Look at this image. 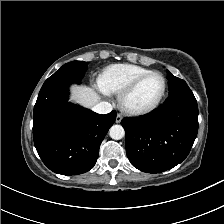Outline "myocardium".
Listing matches in <instances>:
<instances>
[{
	"label": "myocardium",
	"instance_id": "myocardium-1",
	"mask_svg": "<svg viewBox=\"0 0 224 224\" xmlns=\"http://www.w3.org/2000/svg\"><path fill=\"white\" fill-rule=\"evenodd\" d=\"M153 75H159L163 80V89L160 93V95L157 97V99L149 106L146 107H132L128 104L129 97L133 94V92L138 88V86L148 77ZM167 79L166 77L159 71H151L148 73H145L137 78H135L125 89H123L119 94V104L123 111L130 115H144L152 112L155 110L160 103L162 102L166 92H167Z\"/></svg>",
	"mask_w": 224,
	"mask_h": 224
}]
</instances>
